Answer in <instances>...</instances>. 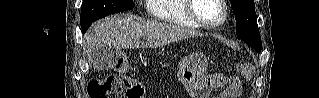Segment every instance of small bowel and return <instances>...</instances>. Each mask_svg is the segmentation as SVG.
Here are the masks:
<instances>
[{
	"label": "small bowel",
	"mask_w": 319,
	"mask_h": 98,
	"mask_svg": "<svg viewBox=\"0 0 319 98\" xmlns=\"http://www.w3.org/2000/svg\"><path fill=\"white\" fill-rule=\"evenodd\" d=\"M208 81L211 88L221 87L226 84L235 85V79H228L220 75L211 76Z\"/></svg>",
	"instance_id": "obj_1"
}]
</instances>
